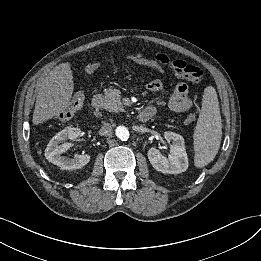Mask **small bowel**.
Wrapping results in <instances>:
<instances>
[{"instance_id": "obj_1", "label": "small bowel", "mask_w": 261, "mask_h": 261, "mask_svg": "<svg viewBox=\"0 0 261 261\" xmlns=\"http://www.w3.org/2000/svg\"><path fill=\"white\" fill-rule=\"evenodd\" d=\"M132 59L142 66H146V63L149 61L146 55L141 52L134 54ZM155 60L159 63L166 64L170 59L165 54H158L156 55ZM98 69L99 63L96 61H91L84 67V72L86 75H92L95 74ZM147 87L151 92H160L163 90V83L160 79L154 78L148 83ZM192 103V99L189 96L188 85L184 82H177L173 94L168 101L169 108L175 112H185L191 108ZM150 108H152L155 113V106H150Z\"/></svg>"}]
</instances>
